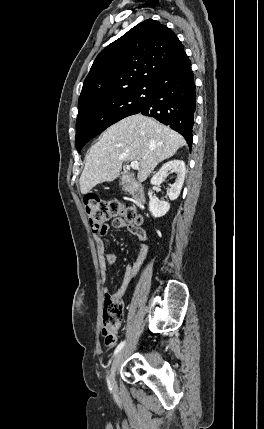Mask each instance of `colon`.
I'll return each mask as SVG.
<instances>
[{
  "label": "colon",
  "mask_w": 264,
  "mask_h": 429,
  "mask_svg": "<svg viewBox=\"0 0 264 429\" xmlns=\"http://www.w3.org/2000/svg\"><path fill=\"white\" fill-rule=\"evenodd\" d=\"M85 210L90 227L95 235L105 232L107 222L112 216L120 215L130 225L140 227L142 218L135 209L119 199L103 200L97 195H91L84 200ZM123 317V301L116 295L108 294L104 298L102 330L107 346L116 342V333L120 328Z\"/></svg>",
  "instance_id": "5ec220e1"
}]
</instances>
